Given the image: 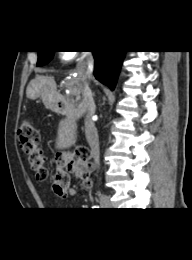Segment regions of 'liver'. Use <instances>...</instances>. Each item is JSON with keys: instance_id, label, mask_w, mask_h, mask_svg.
<instances>
[{"instance_id": "liver-1", "label": "liver", "mask_w": 192, "mask_h": 260, "mask_svg": "<svg viewBox=\"0 0 192 260\" xmlns=\"http://www.w3.org/2000/svg\"><path fill=\"white\" fill-rule=\"evenodd\" d=\"M66 87L70 91H76V95L82 92V84L78 75L70 78L66 83ZM26 95L30 99H36L42 95L44 100L55 99L58 97L56 83L52 77L37 75L33 79L26 91ZM86 112L84 102L79 103L75 109V117L78 120ZM76 131V123L65 118L59 122L55 147L57 149H66L74 143Z\"/></svg>"}]
</instances>
